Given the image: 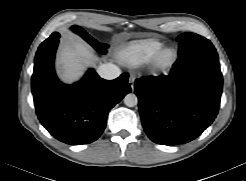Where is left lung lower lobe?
<instances>
[{
	"mask_svg": "<svg viewBox=\"0 0 246 181\" xmlns=\"http://www.w3.org/2000/svg\"><path fill=\"white\" fill-rule=\"evenodd\" d=\"M222 86L212 44L179 54L168 76L137 79L135 93L146 134L163 145L192 141L215 119Z\"/></svg>",
	"mask_w": 246,
	"mask_h": 181,
	"instance_id": "0a47b994",
	"label": "left lung lower lobe"
}]
</instances>
